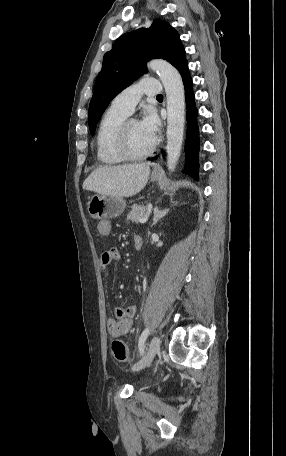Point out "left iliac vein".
<instances>
[{"label": "left iliac vein", "mask_w": 286, "mask_h": 456, "mask_svg": "<svg viewBox=\"0 0 286 456\" xmlns=\"http://www.w3.org/2000/svg\"><path fill=\"white\" fill-rule=\"evenodd\" d=\"M159 349L160 338L158 336H154L151 340L147 353L132 366V371H140L147 367L152 362Z\"/></svg>", "instance_id": "obj_1"}]
</instances>
